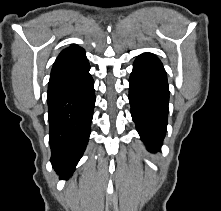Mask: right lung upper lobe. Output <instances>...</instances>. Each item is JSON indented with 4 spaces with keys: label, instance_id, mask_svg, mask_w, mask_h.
I'll use <instances>...</instances> for the list:
<instances>
[{
    "label": "right lung upper lobe",
    "instance_id": "cb5924a9",
    "mask_svg": "<svg viewBox=\"0 0 221 211\" xmlns=\"http://www.w3.org/2000/svg\"><path fill=\"white\" fill-rule=\"evenodd\" d=\"M87 64L88 59L84 49L76 44H72L70 47L61 51L52 67L50 77L75 71Z\"/></svg>",
    "mask_w": 221,
    "mask_h": 211
}]
</instances>
